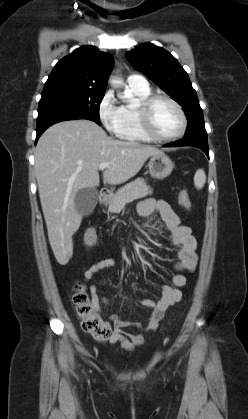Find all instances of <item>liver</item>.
<instances>
[{
    "instance_id": "1",
    "label": "liver",
    "mask_w": 248,
    "mask_h": 419,
    "mask_svg": "<svg viewBox=\"0 0 248 419\" xmlns=\"http://www.w3.org/2000/svg\"><path fill=\"white\" fill-rule=\"evenodd\" d=\"M161 153L153 146L115 140L85 119L54 124L42 134L35 148V174L49 242L60 265L71 259L72 236L82 221L75 196L81 189L99 186V165L109 163L103 179L117 185Z\"/></svg>"
}]
</instances>
